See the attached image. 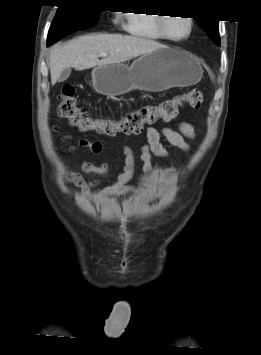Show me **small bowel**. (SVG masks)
I'll use <instances>...</instances> for the list:
<instances>
[{"label":"small bowel","mask_w":261,"mask_h":355,"mask_svg":"<svg viewBox=\"0 0 261 355\" xmlns=\"http://www.w3.org/2000/svg\"><path fill=\"white\" fill-rule=\"evenodd\" d=\"M145 135L146 142L143 143L140 148V159L143 162V172L145 174L143 183L138 186L128 185L135 171V156L133 150L128 145L122 144L120 148L125 160L123 171L118 175L115 184L104 188L98 193L96 197L98 200L129 194H147L151 196L163 194L165 190L153 185V182L168 179L173 174L174 170L171 168L154 170L151 164L152 157H165L167 155L162 139H165L172 146L184 152H188L190 150L188 140L195 138L196 134L190 123L181 121L174 126H164L161 129L148 127L145 131ZM70 138L71 136L69 135L64 137V139ZM76 148L87 149L92 153L99 154L103 146L100 142H91L86 139H81L76 145L72 146L70 150H75ZM82 170L85 173H106L109 170V164L104 162L100 166H95L90 162H84L82 164ZM64 180L80 188L82 196L85 198L89 197V191L95 185L94 182L87 183L78 172H68L64 176Z\"/></svg>","instance_id":"1"}]
</instances>
